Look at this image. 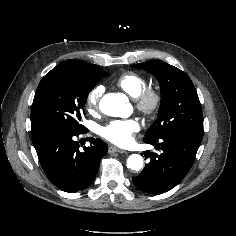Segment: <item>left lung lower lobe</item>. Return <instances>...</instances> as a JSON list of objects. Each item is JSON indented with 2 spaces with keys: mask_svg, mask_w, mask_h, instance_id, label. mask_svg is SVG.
I'll list each match as a JSON object with an SVG mask.
<instances>
[{
  "mask_svg": "<svg viewBox=\"0 0 236 236\" xmlns=\"http://www.w3.org/2000/svg\"><path fill=\"white\" fill-rule=\"evenodd\" d=\"M203 136L184 132L167 133L143 141L155 145L160 154L144 151L150 162L132 181L141 191L149 194H162L177 184L192 167Z\"/></svg>",
  "mask_w": 236,
  "mask_h": 236,
  "instance_id": "left-lung-lower-lobe-1",
  "label": "left lung lower lobe"
}]
</instances>
